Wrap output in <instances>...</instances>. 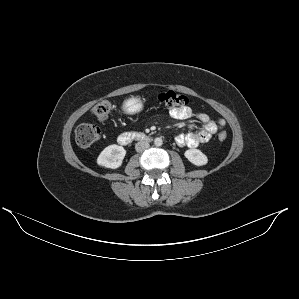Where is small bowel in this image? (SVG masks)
I'll list each match as a JSON object with an SVG mask.
<instances>
[{"instance_id":"c3829d8e","label":"small bowel","mask_w":299,"mask_h":299,"mask_svg":"<svg viewBox=\"0 0 299 299\" xmlns=\"http://www.w3.org/2000/svg\"><path fill=\"white\" fill-rule=\"evenodd\" d=\"M171 117L178 120H186L190 118H195L200 121L203 126L201 130L196 132H190L186 134H179L176 138V144L178 146H186L190 148L197 147L203 143L208 142L211 137L218 131L225 127V120L218 119L217 121H212L208 114L194 110L190 106H182L177 108H172L169 110Z\"/></svg>"}]
</instances>
